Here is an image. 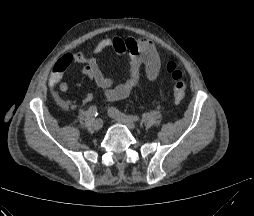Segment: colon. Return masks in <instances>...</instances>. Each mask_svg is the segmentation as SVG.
I'll use <instances>...</instances> for the list:
<instances>
[{"mask_svg":"<svg viewBox=\"0 0 254 216\" xmlns=\"http://www.w3.org/2000/svg\"><path fill=\"white\" fill-rule=\"evenodd\" d=\"M63 68L66 67L65 63L58 62ZM57 63V64H58ZM56 64V65H57ZM166 70L170 74L174 86H173V99L175 103H181L186 96V83L184 81L183 73L178 69L177 65L169 61L166 63Z\"/></svg>","mask_w":254,"mask_h":216,"instance_id":"5ec220e1","label":"colon"}]
</instances>
